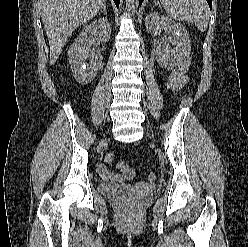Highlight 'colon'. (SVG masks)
<instances>
[{
  "label": "colon",
  "mask_w": 248,
  "mask_h": 247,
  "mask_svg": "<svg viewBox=\"0 0 248 247\" xmlns=\"http://www.w3.org/2000/svg\"><path fill=\"white\" fill-rule=\"evenodd\" d=\"M190 63H191V58L181 63L176 69H174L171 72L166 84L167 89L169 91L175 92L181 88L183 83V76L189 69ZM113 159H114L113 154H108L106 156V161L108 163H111ZM117 166L127 178H133L135 176V172L124 161H119L117 163ZM148 179L150 181H154L156 179V174L150 173Z\"/></svg>",
  "instance_id": "1"
}]
</instances>
